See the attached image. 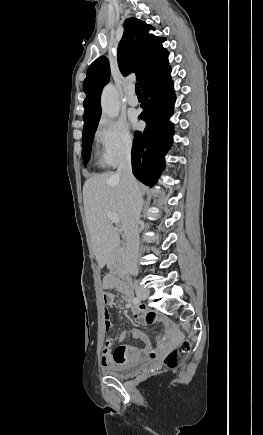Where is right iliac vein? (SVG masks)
<instances>
[{
  "label": "right iliac vein",
  "mask_w": 263,
  "mask_h": 435,
  "mask_svg": "<svg viewBox=\"0 0 263 435\" xmlns=\"http://www.w3.org/2000/svg\"><path fill=\"white\" fill-rule=\"evenodd\" d=\"M136 294L139 298L146 299L149 296L150 292L146 288L138 287L136 288Z\"/></svg>",
  "instance_id": "obj_1"
}]
</instances>
